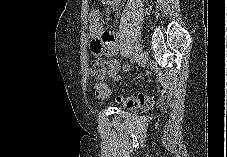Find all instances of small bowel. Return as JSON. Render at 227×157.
<instances>
[{"label": "small bowel", "instance_id": "1", "mask_svg": "<svg viewBox=\"0 0 227 157\" xmlns=\"http://www.w3.org/2000/svg\"><path fill=\"white\" fill-rule=\"evenodd\" d=\"M103 1L114 8H120L123 4V0ZM101 20L102 14L100 10L94 9L89 13V33L93 38L91 46L92 54H104L109 57L105 64L107 71L104 72L102 76L115 79L123 69L127 68V66H121L119 61L114 58L119 52L117 36L114 33L107 31Z\"/></svg>", "mask_w": 227, "mask_h": 157}]
</instances>
